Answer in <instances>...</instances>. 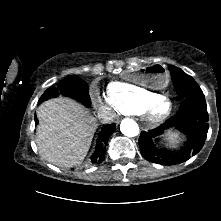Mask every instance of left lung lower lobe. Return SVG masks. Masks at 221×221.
Masks as SVG:
<instances>
[{
	"label": "left lung lower lobe",
	"mask_w": 221,
	"mask_h": 221,
	"mask_svg": "<svg viewBox=\"0 0 221 221\" xmlns=\"http://www.w3.org/2000/svg\"><path fill=\"white\" fill-rule=\"evenodd\" d=\"M209 116L205 96L185 98L182 100L179 111L164 124L141 132L139 147L142 156L153 163L176 165L187 161L197 154L203 147L209 129ZM171 129L180 131L186 137L183 146L177 151L157 146L160 138Z\"/></svg>",
	"instance_id": "1"
}]
</instances>
